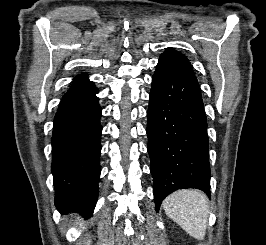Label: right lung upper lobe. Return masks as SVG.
Masks as SVG:
<instances>
[{
    "mask_svg": "<svg viewBox=\"0 0 266 245\" xmlns=\"http://www.w3.org/2000/svg\"><path fill=\"white\" fill-rule=\"evenodd\" d=\"M84 80H88V78H87V74H85V73L78 75V76L74 79V82H73V83L81 82V81H84Z\"/></svg>",
    "mask_w": 266,
    "mask_h": 245,
    "instance_id": "cb5924a9",
    "label": "right lung upper lobe"
}]
</instances>
